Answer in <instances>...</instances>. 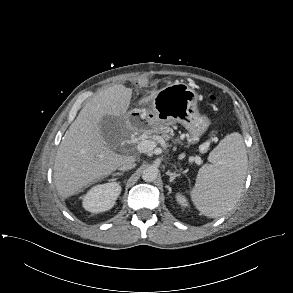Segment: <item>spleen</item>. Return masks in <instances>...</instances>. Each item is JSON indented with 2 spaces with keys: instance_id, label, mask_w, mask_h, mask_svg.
<instances>
[{
  "instance_id": "spleen-1",
  "label": "spleen",
  "mask_w": 293,
  "mask_h": 293,
  "mask_svg": "<svg viewBox=\"0 0 293 293\" xmlns=\"http://www.w3.org/2000/svg\"><path fill=\"white\" fill-rule=\"evenodd\" d=\"M212 164L200 168L191 199L210 218L229 212L240 198L247 169L243 138L234 132L224 137L209 155Z\"/></svg>"
}]
</instances>
